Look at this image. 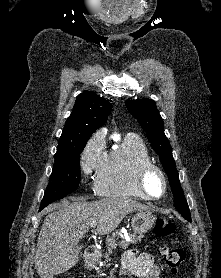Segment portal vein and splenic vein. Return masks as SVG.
Instances as JSON below:
<instances>
[{"mask_svg":"<svg viewBox=\"0 0 221 278\" xmlns=\"http://www.w3.org/2000/svg\"><path fill=\"white\" fill-rule=\"evenodd\" d=\"M97 226V222L96 221H93L91 224H90V227L91 228H96Z\"/></svg>","mask_w":221,"mask_h":278,"instance_id":"obj_1","label":"portal vein and splenic vein"}]
</instances>
